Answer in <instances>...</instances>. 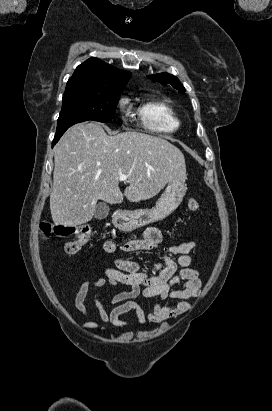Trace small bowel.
<instances>
[{"label": "small bowel", "instance_id": "small-bowel-1", "mask_svg": "<svg viewBox=\"0 0 272 411\" xmlns=\"http://www.w3.org/2000/svg\"><path fill=\"white\" fill-rule=\"evenodd\" d=\"M162 233L156 227L146 228L140 238L126 240L122 243L108 240L104 243V251L110 254L132 253L159 249ZM194 241L174 244L161 249L159 261L150 269H143L139 262L117 258L115 268L106 270L104 276L84 281L75 295L74 305L83 315H88L85 301L92 288L110 285L109 290L95 294L93 304L103 323L110 324L111 329L128 327L129 323L122 316L134 312L141 325L146 323L160 324L168 319L176 318L189 311L192 303L189 300L200 295V273L191 267L190 253L196 248ZM120 285L129 290L113 293L110 303L114 306L107 311L101 297L114 292ZM138 297L156 298L152 310L146 313L135 300ZM173 300L164 305L163 301ZM86 329H97L98 323L87 321L82 324Z\"/></svg>", "mask_w": 272, "mask_h": 411}]
</instances>
